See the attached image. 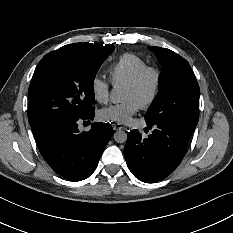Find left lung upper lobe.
<instances>
[{
	"label": "left lung upper lobe",
	"instance_id": "5c2ea615",
	"mask_svg": "<svg viewBox=\"0 0 233 233\" xmlns=\"http://www.w3.org/2000/svg\"><path fill=\"white\" fill-rule=\"evenodd\" d=\"M148 48L157 56L163 71L159 75L158 94L145 115L146 123L196 127L200 90L189 63L169 49Z\"/></svg>",
	"mask_w": 233,
	"mask_h": 233
}]
</instances>
